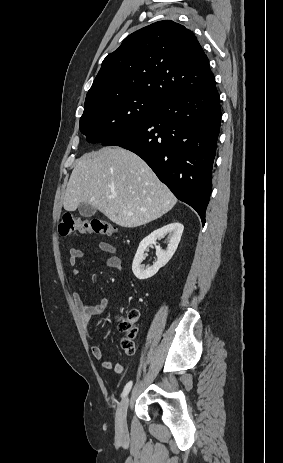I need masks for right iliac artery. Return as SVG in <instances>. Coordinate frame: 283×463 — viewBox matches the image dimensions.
Wrapping results in <instances>:
<instances>
[{
  "instance_id": "obj_1",
  "label": "right iliac artery",
  "mask_w": 283,
  "mask_h": 463,
  "mask_svg": "<svg viewBox=\"0 0 283 463\" xmlns=\"http://www.w3.org/2000/svg\"><path fill=\"white\" fill-rule=\"evenodd\" d=\"M131 387H132V381H129V382L126 384V386L124 387V390H123V392H122V394H121V397H122V398L125 397V396L129 393Z\"/></svg>"
}]
</instances>
